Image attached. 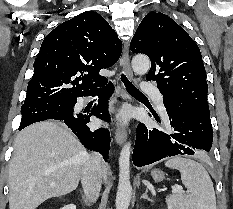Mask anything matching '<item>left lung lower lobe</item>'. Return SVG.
I'll list each match as a JSON object with an SVG mask.
<instances>
[{
	"instance_id": "0a47b994",
	"label": "left lung lower lobe",
	"mask_w": 233,
	"mask_h": 209,
	"mask_svg": "<svg viewBox=\"0 0 233 209\" xmlns=\"http://www.w3.org/2000/svg\"><path fill=\"white\" fill-rule=\"evenodd\" d=\"M170 124L168 131L148 128L140 123L133 150V163L145 166L179 154H194L193 149L210 151L213 130L210 116L201 114L185 105H175L163 96ZM156 121L161 123L158 116Z\"/></svg>"
}]
</instances>
